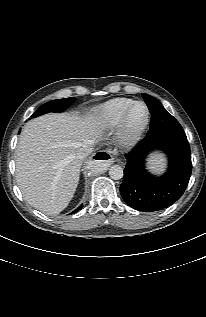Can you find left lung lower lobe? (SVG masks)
I'll return each instance as SVG.
<instances>
[{
    "label": "left lung lower lobe",
    "mask_w": 206,
    "mask_h": 317,
    "mask_svg": "<svg viewBox=\"0 0 206 317\" xmlns=\"http://www.w3.org/2000/svg\"><path fill=\"white\" fill-rule=\"evenodd\" d=\"M162 150L169 158L164 176L154 177L144 162L152 150ZM120 186L124 201L139 211H158L176 202L184 193L192 170L190 146L186 135L145 137L128 154Z\"/></svg>",
    "instance_id": "obj_1"
}]
</instances>
